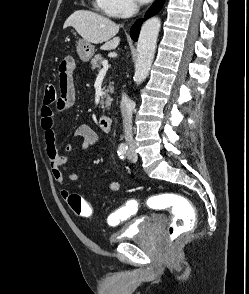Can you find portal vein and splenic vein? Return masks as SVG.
<instances>
[{"mask_svg": "<svg viewBox=\"0 0 249 294\" xmlns=\"http://www.w3.org/2000/svg\"><path fill=\"white\" fill-rule=\"evenodd\" d=\"M102 65H103V68L99 71V74H105L109 68V64L107 60H104Z\"/></svg>", "mask_w": 249, "mask_h": 294, "instance_id": "obj_1", "label": "portal vein and splenic vein"}]
</instances>
